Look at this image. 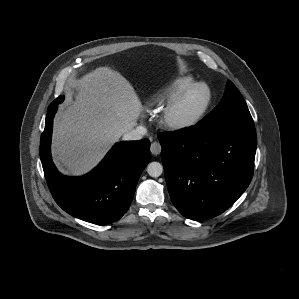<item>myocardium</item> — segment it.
<instances>
[{"label": "myocardium", "instance_id": "1", "mask_svg": "<svg viewBox=\"0 0 299 299\" xmlns=\"http://www.w3.org/2000/svg\"><path fill=\"white\" fill-rule=\"evenodd\" d=\"M204 89L206 92V98L201 108L192 116L187 118H179L176 116V111L187 97L189 93L196 89ZM212 90L210 86L205 82H194L179 92L170 102L164 107L160 123L163 127L171 131H183L196 126L202 121L208 112L212 103Z\"/></svg>", "mask_w": 299, "mask_h": 299}]
</instances>
